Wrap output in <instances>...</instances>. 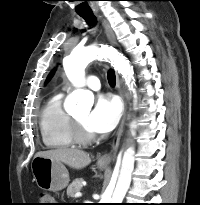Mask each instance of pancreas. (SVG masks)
I'll use <instances>...</instances> for the list:
<instances>
[{
  "label": "pancreas",
  "instance_id": "cf45deb5",
  "mask_svg": "<svg viewBox=\"0 0 200 205\" xmlns=\"http://www.w3.org/2000/svg\"><path fill=\"white\" fill-rule=\"evenodd\" d=\"M82 178H76L67 188V195L69 197H74L77 192L82 189Z\"/></svg>",
  "mask_w": 200,
  "mask_h": 205
}]
</instances>
